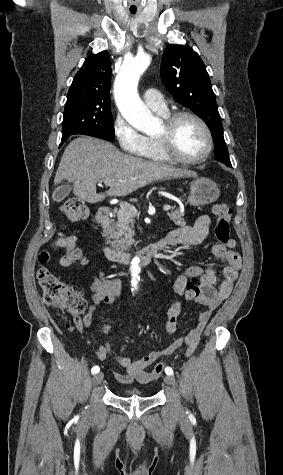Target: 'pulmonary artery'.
<instances>
[{"label":"pulmonary artery","instance_id":"1","mask_svg":"<svg viewBox=\"0 0 283 475\" xmlns=\"http://www.w3.org/2000/svg\"><path fill=\"white\" fill-rule=\"evenodd\" d=\"M114 90H137V89H114ZM143 100L146 105L154 111L166 110L164 97L160 94L158 87L146 88L142 90Z\"/></svg>","mask_w":283,"mask_h":475}]
</instances>
